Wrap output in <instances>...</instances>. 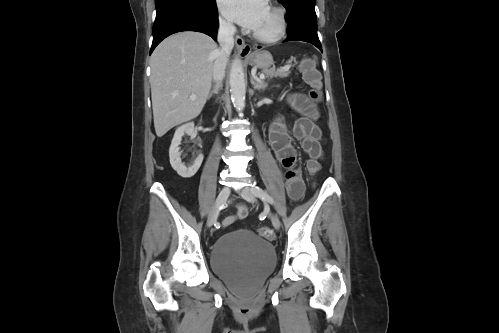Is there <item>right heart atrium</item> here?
<instances>
[{"instance_id":"obj_1","label":"right heart atrium","mask_w":499,"mask_h":333,"mask_svg":"<svg viewBox=\"0 0 499 333\" xmlns=\"http://www.w3.org/2000/svg\"><path fill=\"white\" fill-rule=\"evenodd\" d=\"M220 25H221L222 29H224L226 31H231L232 30V26L228 22H226L224 20H220Z\"/></svg>"}]
</instances>
